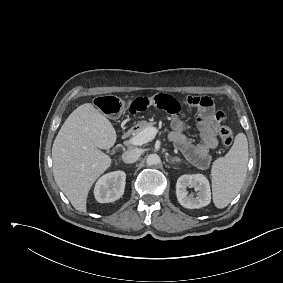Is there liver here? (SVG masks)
Masks as SVG:
<instances>
[{"label":"liver","instance_id":"1","mask_svg":"<svg viewBox=\"0 0 283 283\" xmlns=\"http://www.w3.org/2000/svg\"><path fill=\"white\" fill-rule=\"evenodd\" d=\"M110 121L91 103L80 105L66 119L52 147L54 179L72 206L86 212L90 188L111 165L100 149L116 142Z\"/></svg>","mask_w":283,"mask_h":283}]
</instances>
